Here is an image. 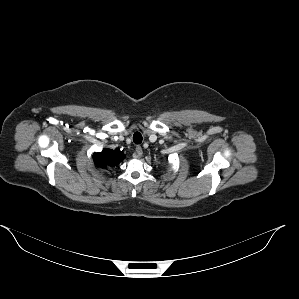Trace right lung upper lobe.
I'll use <instances>...</instances> for the list:
<instances>
[{"label":"right lung upper lobe","instance_id":"1","mask_svg":"<svg viewBox=\"0 0 299 299\" xmlns=\"http://www.w3.org/2000/svg\"><path fill=\"white\" fill-rule=\"evenodd\" d=\"M125 158V155L119 149H104L100 153H95L93 160L98 167L105 168L115 166Z\"/></svg>","mask_w":299,"mask_h":299}]
</instances>
